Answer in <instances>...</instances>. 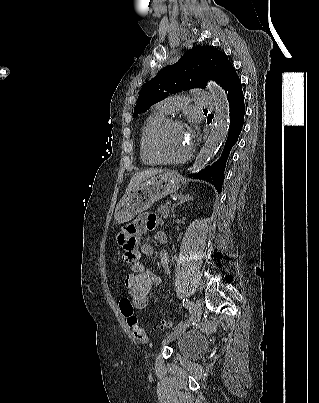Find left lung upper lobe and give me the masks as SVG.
Returning <instances> with one entry per match:
<instances>
[{"instance_id":"1","label":"left lung upper lobe","mask_w":319,"mask_h":403,"mask_svg":"<svg viewBox=\"0 0 319 403\" xmlns=\"http://www.w3.org/2000/svg\"><path fill=\"white\" fill-rule=\"evenodd\" d=\"M232 65L227 55L211 46H198L185 52L179 61L163 68L143 85L133 117L145 112L169 94L193 88H205L206 80L220 84L226 69Z\"/></svg>"}]
</instances>
